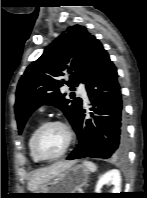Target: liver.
I'll list each match as a JSON object with an SVG mask.
<instances>
[{"label":"liver","instance_id":"liver-1","mask_svg":"<svg viewBox=\"0 0 147 198\" xmlns=\"http://www.w3.org/2000/svg\"><path fill=\"white\" fill-rule=\"evenodd\" d=\"M75 161H59L50 167L36 170L28 182V189L36 191L47 181L58 175L64 169L72 166Z\"/></svg>","mask_w":147,"mask_h":198}]
</instances>
